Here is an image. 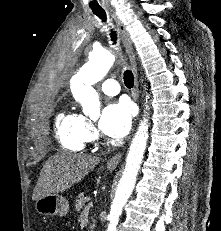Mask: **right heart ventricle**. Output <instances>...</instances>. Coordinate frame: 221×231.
<instances>
[{
    "mask_svg": "<svg viewBox=\"0 0 221 231\" xmlns=\"http://www.w3.org/2000/svg\"><path fill=\"white\" fill-rule=\"evenodd\" d=\"M57 139L60 145L68 150L81 151L87 139L85 136V118L73 111L59 114L56 121Z\"/></svg>",
    "mask_w": 221,
    "mask_h": 231,
    "instance_id": "obj_1",
    "label": "right heart ventricle"
}]
</instances>
